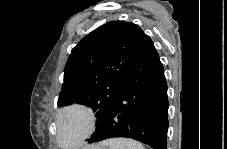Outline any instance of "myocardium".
<instances>
[{"mask_svg":"<svg viewBox=\"0 0 227 149\" xmlns=\"http://www.w3.org/2000/svg\"><path fill=\"white\" fill-rule=\"evenodd\" d=\"M73 113H80L86 122V126L84 131L72 142L66 143L62 140L61 136V129L62 124L67 117H69ZM96 115L94 111L80 103H73L69 104L62 109L56 115L55 119V140L59 146H66V147H76L82 145L94 132L96 128Z\"/></svg>","mask_w":227,"mask_h":149,"instance_id":"myocardium-1","label":"myocardium"}]
</instances>
